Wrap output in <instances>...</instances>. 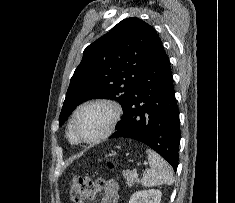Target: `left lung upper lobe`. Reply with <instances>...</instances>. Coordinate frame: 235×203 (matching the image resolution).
Instances as JSON below:
<instances>
[{
    "instance_id": "1",
    "label": "left lung upper lobe",
    "mask_w": 235,
    "mask_h": 203,
    "mask_svg": "<svg viewBox=\"0 0 235 203\" xmlns=\"http://www.w3.org/2000/svg\"><path fill=\"white\" fill-rule=\"evenodd\" d=\"M160 41L152 26L130 17L90 44L71 78L60 125L79 104L93 98L116 100L125 111Z\"/></svg>"
}]
</instances>
